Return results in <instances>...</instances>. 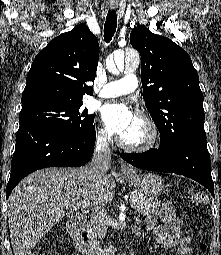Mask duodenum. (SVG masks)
<instances>
[{"instance_id": "duodenum-1", "label": "duodenum", "mask_w": 221, "mask_h": 255, "mask_svg": "<svg viewBox=\"0 0 221 255\" xmlns=\"http://www.w3.org/2000/svg\"><path fill=\"white\" fill-rule=\"evenodd\" d=\"M67 232L74 247L83 255H100L90 249V229L83 227L82 216H74L67 222Z\"/></svg>"}]
</instances>
